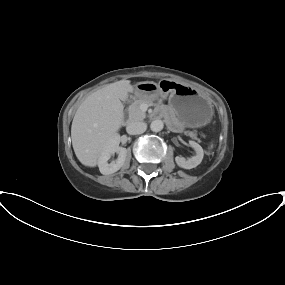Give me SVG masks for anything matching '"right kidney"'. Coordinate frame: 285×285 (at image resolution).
Returning <instances> with one entry per match:
<instances>
[{
	"instance_id": "obj_1",
	"label": "right kidney",
	"mask_w": 285,
	"mask_h": 285,
	"mask_svg": "<svg viewBox=\"0 0 285 285\" xmlns=\"http://www.w3.org/2000/svg\"><path fill=\"white\" fill-rule=\"evenodd\" d=\"M114 153L118 154V158L111 163H108V160ZM126 157L127 149L119 146V137L116 136L100 153L98 158V167L100 172L103 175H109L117 172L124 165Z\"/></svg>"
}]
</instances>
